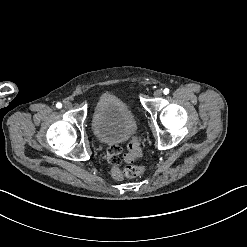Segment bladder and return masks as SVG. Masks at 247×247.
<instances>
[{
	"label": "bladder",
	"mask_w": 247,
	"mask_h": 247,
	"mask_svg": "<svg viewBox=\"0 0 247 247\" xmlns=\"http://www.w3.org/2000/svg\"><path fill=\"white\" fill-rule=\"evenodd\" d=\"M91 127L100 143L113 145L128 141L134 135L137 122L117 96L106 93L97 99Z\"/></svg>",
	"instance_id": "bladder-1"
}]
</instances>
